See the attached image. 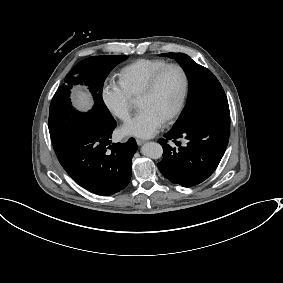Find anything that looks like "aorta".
<instances>
[{"label":"aorta","mask_w":283,"mask_h":283,"mask_svg":"<svg viewBox=\"0 0 283 283\" xmlns=\"http://www.w3.org/2000/svg\"><path fill=\"white\" fill-rule=\"evenodd\" d=\"M141 152L148 158L159 159L162 157L163 148L159 143L148 142L142 146Z\"/></svg>","instance_id":"1"}]
</instances>
